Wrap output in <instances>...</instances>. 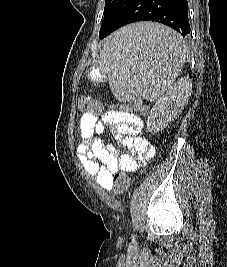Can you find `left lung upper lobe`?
Here are the masks:
<instances>
[{
	"instance_id": "1",
	"label": "left lung upper lobe",
	"mask_w": 227,
	"mask_h": 267,
	"mask_svg": "<svg viewBox=\"0 0 227 267\" xmlns=\"http://www.w3.org/2000/svg\"><path fill=\"white\" fill-rule=\"evenodd\" d=\"M128 0H105L104 19L102 21L103 26L107 23L115 14H117Z\"/></svg>"
}]
</instances>
